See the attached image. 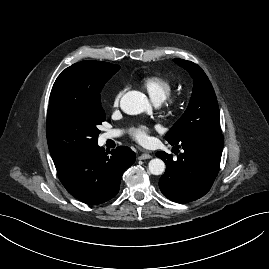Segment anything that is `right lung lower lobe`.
<instances>
[{
  "label": "right lung lower lobe",
  "mask_w": 269,
  "mask_h": 269,
  "mask_svg": "<svg viewBox=\"0 0 269 269\" xmlns=\"http://www.w3.org/2000/svg\"><path fill=\"white\" fill-rule=\"evenodd\" d=\"M109 153L95 145L54 161L66 190L75 198L92 205L116 196L122 174L135 162L136 155L126 146L117 147Z\"/></svg>",
  "instance_id": "right-lung-lower-lobe-1"
}]
</instances>
